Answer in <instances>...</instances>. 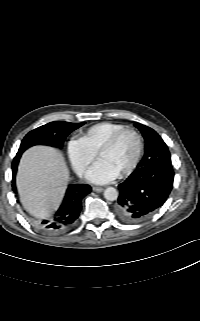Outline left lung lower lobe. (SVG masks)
Masks as SVG:
<instances>
[{
    "label": "left lung lower lobe",
    "instance_id": "obj_1",
    "mask_svg": "<svg viewBox=\"0 0 200 321\" xmlns=\"http://www.w3.org/2000/svg\"><path fill=\"white\" fill-rule=\"evenodd\" d=\"M172 166L152 165L137 168L119 184L115 207L120 220L136 223L147 219L167 200L173 186Z\"/></svg>",
    "mask_w": 200,
    "mask_h": 321
}]
</instances>
